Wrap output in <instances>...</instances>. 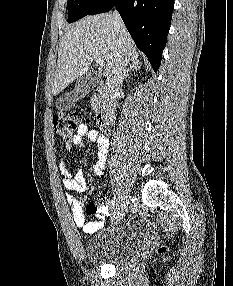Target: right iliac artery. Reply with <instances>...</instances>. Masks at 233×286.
<instances>
[{
    "mask_svg": "<svg viewBox=\"0 0 233 286\" xmlns=\"http://www.w3.org/2000/svg\"><path fill=\"white\" fill-rule=\"evenodd\" d=\"M120 196L119 197H116L114 196L112 201H111V208L114 209L115 207L117 208L119 202H120Z\"/></svg>",
    "mask_w": 233,
    "mask_h": 286,
    "instance_id": "82829eb1",
    "label": "right iliac artery"
}]
</instances>
